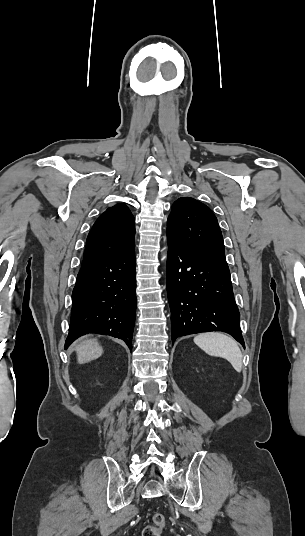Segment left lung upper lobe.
<instances>
[{
	"label": "left lung upper lobe",
	"mask_w": 305,
	"mask_h": 536,
	"mask_svg": "<svg viewBox=\"0 0 305 536\" xmlns=\"http://www.w3.org/2000/svg\"><path fill=\"white\" fill-rule=\"evenodd\" d=\"M166 234L186 251L226 260L217 218L209 207L194 198L181 197L173 203Z\"/></svg>",
	"instance_id": "left-lung-upper-lobe-1"
}]
</instances>
